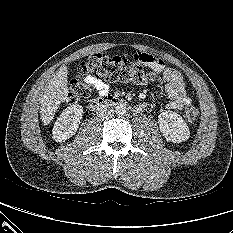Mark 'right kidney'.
<instances>
[{
  "instance_id": "ca27d5eb",
  "label": "right kidney",
  "mask_w": 233,
  "mask_h": 233,
  "mask_svg": "<svg viewBox=\"0 0 233 233\" xmlns=\"http://www.w3.org/2000/svg\"><path fill=\"white\" fill-rule=\"evenodd\" d=\"M83 114V107L74 104L67 107L56 120L52 134L57 142H62L72 137L78 127Z\"/></svg>"
}]
</instances>
